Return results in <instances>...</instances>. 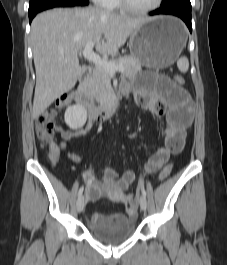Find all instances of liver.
<instances>
[{"label":"liver","mask_w":227,"mask_h":265,"mask_svg":"<svg viewBox=\"0 0 227 265\" xmlns=\"http://www.w3.org/2000/svg\"><path fill=\"white\" fill-rule=\"evenodd\" d=\"M146 21L94 7L38 14L31 24L36 70L33 117L38 118L83 75L85 66L79 65L78 53L88 42L95 43L97 52L114 55Z\"/></svg>","instance_id":"1"}]
</instances>
